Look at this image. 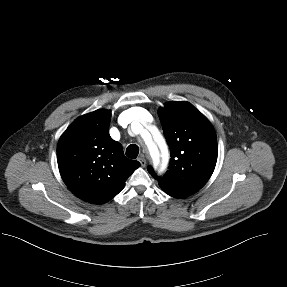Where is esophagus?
<instances>
[{
  "mask_svg": "<svg viewBox=\"0 0 287 287\" xmlns=\"http://www.w3.org/2000/svg\"><path fill=\"white\" fill-rule=\"evenodd\" d=\"M138 160H139V162H140V164H141L142 167H145V166H146L147 162H146V159H145L144 155H140V157L138 158Z\"/></svg>",
  "mask_w": 287,
  "mask_h": 287,
  "instance_id": "1",
  "label": "esophagus"
}]
</instances>
